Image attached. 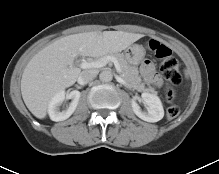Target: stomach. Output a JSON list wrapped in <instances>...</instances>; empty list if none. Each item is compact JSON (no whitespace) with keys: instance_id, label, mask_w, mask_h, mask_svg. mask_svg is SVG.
Instances as JSON below:
<instances>
[{"instance_id":"stomach-1","label":"stomach","mask_w":219,"mask_h":174,"mask_svg":"<svg viewBox=\"0 0 219 174\" xmlns=\"http://www.w3.org/2000/svg\"><path fill=\"white\" fill-rule=\"evenodd\" d=\"M144 56L145 49L139 44H133L126 49L125 58L130 64H139Z\"/></svg>"}]
</instances>
